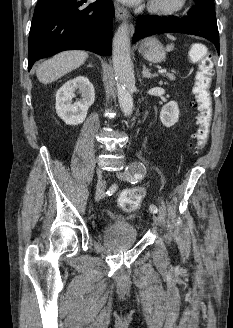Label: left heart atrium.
I'll use <instances>...</instances> for the list:
<instances>
[{"label": "left heart atrium", "instance_id": "obj_1", "mask_svg": "<svg viewBox=\"0 0 233 328\" xmlns=\"http://www.w3.org/2000/svg\"><path fill=\"white\" fill-rule=\"evenodd\" d=\"M120 1L130 5L137 4L138 2H140V0H120Z\"/></svg>", "mask_w": 233, "mask_h": 328}]
</instances>
